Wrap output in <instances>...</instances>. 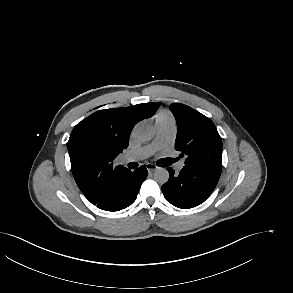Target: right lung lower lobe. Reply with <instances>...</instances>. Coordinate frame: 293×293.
<instances>
[{
	"mask_svg": "<svg viewBox=\"0 0 293 293\" xmlns=\"http://www.w3.org/2000/svg\"><path fill=\"white\" fill-rule=\"evenodd\" d=\"M147 174V169L144 166L139 167L134 172L129 171L116 180L110 195L95 205L106 211H119L130 206L136 200Z\"/></svg>",
	"mask_w": 293,
	"mask_h": 293,
	"instance_id": "1",
	"label": "right lung lower lobe"
}]
</instances>
